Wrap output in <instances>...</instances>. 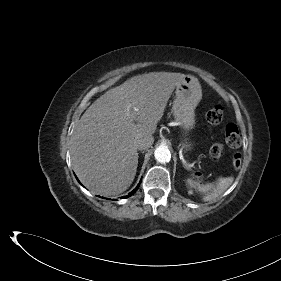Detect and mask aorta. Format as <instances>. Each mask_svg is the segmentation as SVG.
<instances>
[{
    "label": "aorta",
    "instance_id": "1",
    "mask_svg": "<svg viewBox=\"0 0 281 281\" xmlns=\"http://www.w3.org/2000/svg\"><path fill=\"white\" fill-rule=\"evenodd\" d=\"M155 159L160 163L168 162L171 158L170 151L165 146H159L154 152Z\"/></svg>",
    "mask_w": 281,
    "mask_h": 281
}]
</instances>
